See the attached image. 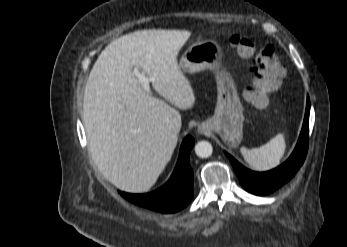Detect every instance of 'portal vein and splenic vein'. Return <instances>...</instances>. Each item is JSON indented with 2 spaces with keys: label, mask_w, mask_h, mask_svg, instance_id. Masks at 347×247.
Returning <instances> with one entry per match:
<instances>
[{
  "label": "portal vein and splenic vein",
  "mask_w": 347,
  "mask_h": 247,
  "mask_svg": "<svg viewBox=\"0 0 347 247\" xmlns=\"http://www.w3.org/2000/svg\"><path fill=\"white\" fill-rule=\"evenodd\" d=\"M133 73L138 78V80L142 83L143 88L146 92L150 91L149 83L154 81V78H148L144 73H141L137 68L134 69Z\"/></svg>",
  "instance_id": "portal-vein-and-splenic-vein-1"
}]
</instances>
